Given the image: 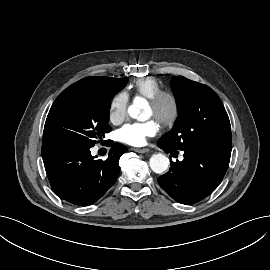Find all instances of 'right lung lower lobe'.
<instances>
[{"mask_svg": "<svg viewBox=\"0 0 270 270\" xmlns=\"http://www.w3.org/2000/svg\"><path fill=\"white\" fill-rule=\"evenodd\" d=\"M124 145L111 144L105 161L91 156L90 148L67 144L42 146V158L53 192L74 205H90L116 181Z\"/></svg>", "mask_w": 270, "mask_h": 270, "instance_id": "right-lung-lower-lobe-1", "label": "right lung lower lobe"}]
</instances>
